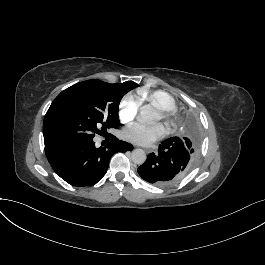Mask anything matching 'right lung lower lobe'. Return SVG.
Returning a JSON list of instances; mask_svg holds the SVG:
<instances>
[{"instance_id": "obj_1", "label": "right lung lower lobe", "mask_w": 265, "mask_h": 265, "mask_svg": "<svg viewBox=\"0 0 265 265\" xmlns=\"http://www.w3.org/2000/svg\"><path fill=\"white\" fill-rule=\"evenodd\" d=\"M132 149L130 143L112 135L105 148H96L93 139L70 140L45 148V153L52 168L63 180L73 186H89L105 175L114 153Z\"/></svg>"}]
</instances>
